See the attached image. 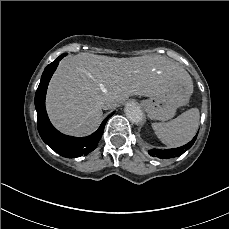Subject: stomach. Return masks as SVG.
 Listing matches in <instances>:
<instances>
[{
    "instance_id": "stomach-1",
    "label": "stomach",
    "mask_w": 229,
    "mask_h": 229,
    "mask_svg": "<svg viewBox=\"0 0 229 229\" xmlns=\"http://www.w3.org/2000/svg\"><path fill=\"white\" fill-rule=\"evenodd\" d=\"M192 92L193 87L188 88L175 84L165 92L141 101L140 106L151 119L167 121L174 117L178 107L189 102Z\"/></svg>"
}]
</instances>
